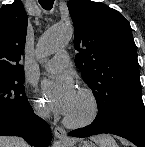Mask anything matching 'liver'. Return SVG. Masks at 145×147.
<instances>
[{
  "instance_id": "liver-1",
  "label": "liver",
  "mask_w": 145,
  "mask_h": 147,
  "mask_svg": "<svg viewBox=\"0 0 145 147\" xmlns=\"http://www.w3.org/2000/svg\"><path fill=\"white\" fill-rule=\"evenodd\" d=\"M0 147H29V145L22 138L0 136Z\"/></svg>"
}]
</instances>
